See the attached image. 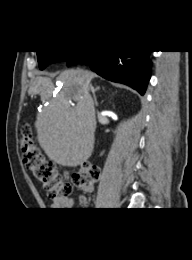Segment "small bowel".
<instances>
[{
	"label": "small bowel",
	"instance_id": "c3829d8e",
	"mask_svg": "<svg viewBox=\"0 0 192 260\" xmlns=\"http://www.w3.org/2000/svg\"><path fill=\"white\" fill-rule=\"evenodd\" d=\"M74 206V199L72 197H68L61 200H53L51 203L52 210H70Z\"/></svg>",
	"mask_w": 192,
	"mask_h": 260
}]
</instances>
